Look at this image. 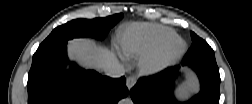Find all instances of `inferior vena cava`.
Returning a JSON list of instances; mask_svg holds the SVG:
<instances>
[{
  "mask_svg": "<svg viewBox=\"0 0 252 104\" xmlns=\"http://www.w3.org/2000/svg\"><path fill=\"white\" fill-rule=\"evenodd\" d=\"M105 74L112 78H119L125 74V69L120 63H112L103 68Z\"/></svg>",
  "mask_w": 252,
  "mask_h": 104,
  "instance_id": "inferior-vena-cava-1",
  "label": "inferior vena cava"
}]
</instances>
